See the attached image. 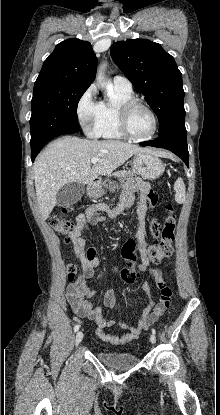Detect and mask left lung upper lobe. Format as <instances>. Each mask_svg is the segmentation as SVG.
<instances>
[{"instance_id":"5c2ea615","label":"left lung upper lobe","mask_w":220,"mask_h":415,"mask_svg":"<svg viewBox=\"0 0 220 415\" xmlns=\"http://www.w3.org/2000/svg\"><path fill=\"white\" fill-rule=\"evenodd\" d=\"M110 54L156 113L159 135L185 120L182 74L160 44L147 39L113 43Z\"/></svg>"}]
</instances>
